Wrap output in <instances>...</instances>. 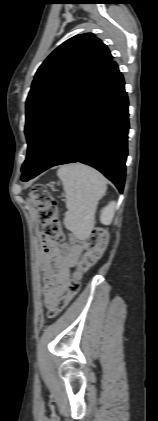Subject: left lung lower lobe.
Segmentation results:
<instances>
[{
	"mask_svg": "<svg viewBox=\"0 0 158 421\" xmlns=\"http://www.w3.org/2000/svg\"><path fill=\"white\" fill-rule=\"evenodd\" d=\"M128 129L124 80L112 58L60 112L21 179L26 182L55 165L81 162L102 172L122 193Z\"/></svg>",
	"mask_w": 158,
	"mask_h": 421,
	"instance_id": "obj_1",
	"label": "left lung lower lobe"
}]
</instances>
